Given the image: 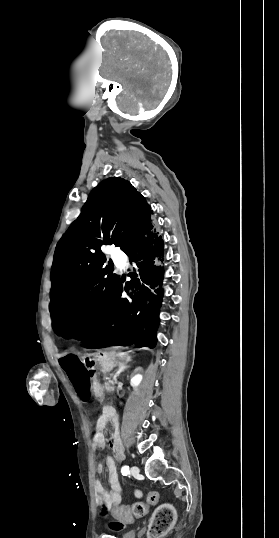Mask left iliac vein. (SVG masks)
<instances>
[{"label": "left iliac vein", "instance_id": "left-iliac-vein-1", "mask_svg": "<svg viewBox=\"0 0 279 538\" xmlns=\"http://www.w3.org/2000/svg\"><path fill=\"white\" fill-rule=\"evenodd\" d=\"M130 473L132 476H138L140 471H139V468L137 466H132L131 467V470H130Z\"/></svg>", "mask_w": 279, "mask_h": 538}]
</instances>
